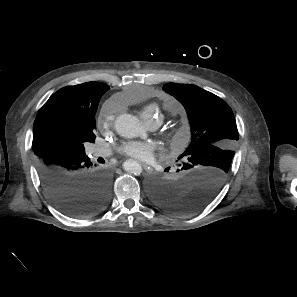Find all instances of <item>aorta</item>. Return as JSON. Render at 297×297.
I'll list each match as a JSON object with an SVG mask.
<instances>
[{
  "label": "aorta",
  "instance_id": "1",
  "mask_svg": "<svg viewBox=\"0 0 297 297\" xmlns=\"http://www.w3.org/2000/svg\"><path fill=\"white\" fill-rule=\"evenodd\" d=\"M115 130L120 136L126 138L138 137L143 133V128L139 120L130 114H121L116 118ZM123 169L134 175H140L142 172L141 165L131 159L123 163Z\"/></svg>",
  "mask_w": 297,
  "mask_h": 297
}]
</instances>
